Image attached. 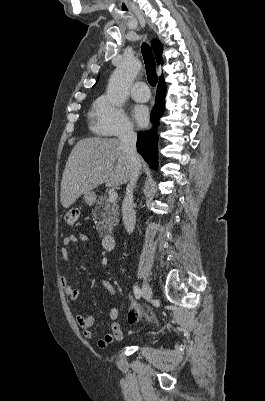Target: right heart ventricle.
Returning <instances> with one entry per match:
<instances>
[{
  "mask_svg": "<svg viewBox=\"0 0 265 401\" xmlns=\"http://www.w3.org/2000/svg\"><path fill=\"white\" fill-rule=\"evenodd\" d=\"M96 104H97V102L93 104V107H92V113H93V111H94V110H95V108H96ZM106 143H110V142H106Z\"/></svg>",
  "mask_w": 265,
  "mask_h": 401,
  "instance_id": "e07e8e85",
  "label": "right heart ventricle"
}]
</instances>
